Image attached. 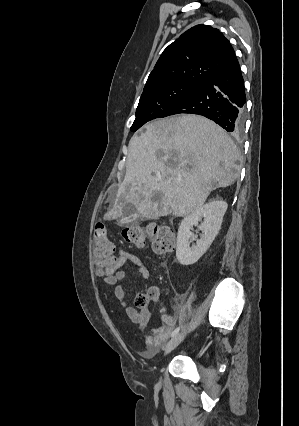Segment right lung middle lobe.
I'll return each mask as SVG.
<instances>
[{"mask_svg": "<svg viewBox=\"0 0 299 426\" xmlns=\"http://www.w3.org/2000/svg\"><path fill=\"white\" fill-rule=\"evenodd\" d=\"M198 87L194 84L175 82L144 90L136 109V118L131 131H136L152 119L160 118L166 110Z\"/></svg>", "mask_w": 299, "mask_h": 426, "instance_id": "1", "label": "right lung middle lobe"}]
</instances>
